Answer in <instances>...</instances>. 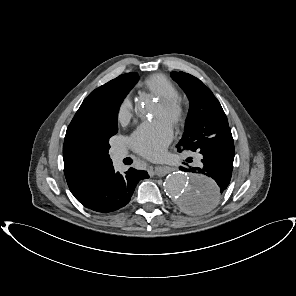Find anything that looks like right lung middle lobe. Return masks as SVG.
<instances>
[{
	"label": "right lung middle lobe",
	"mask_w": 296,
	"mask_h": 296,
	"mask_svg": "<svg viewBox=\"0 0 296 296\" xmlns=\"http://www.w3.org/2000/svg\"><path fill=\"white\" fill-rule=\"evenodd\" d=\"M137 74L117 86L111 93L108 101L103 104L93 115L91 126L96 135L109 145V139L118 131L117 117L121 102L137 83ZM110 146V145H109Z\"/></svg>",
	"instance_id": "obj_1"
}]
</instances>
